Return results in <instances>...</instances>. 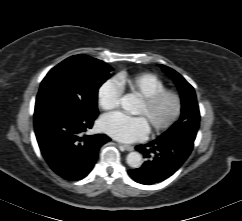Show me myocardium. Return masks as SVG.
Returning a JSON list of instances; mask_svg holds the SVG:
<instances>
[{
    "mask_svg": "<svg viewBox=\"0 0 242 221\" xmlns=\"http://www.w3.org/2000/svg\"><path fill=\"white\" fill-rule=\"evenodd\" d=\"M164 99H170L172 101V112L166 120L150 125V129L153 133H161L167 131L176 123L182 111V100L177 92L168 89H164L151 95L142 97V102L147 111L153 109Z\"/></svg>",
    "mask_w": 242,
    "mask_h": 221,
    "instance_id": "obj_1",
    "label": "myocardium"
}]
</instances>
